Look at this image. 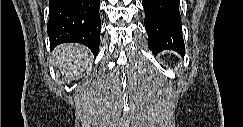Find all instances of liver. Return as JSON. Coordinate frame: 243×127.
I'll list each match as a JSON object with an SVG mask.
<instances>
[{"mask_svg":"<svg viewBox=\"0 0 243 127\" xmlns=\"http://www.w3.org/2000/svg\"><path fill=\"white\" fill-rule=\"evenodd\" d=\"M90 61V51L79 44H62L54 51V64L70 79L79 78Z\"/></svg>","mask_w":243,"mask_h":127,"instance_id":"1","label":"liver"}]
</instances>
